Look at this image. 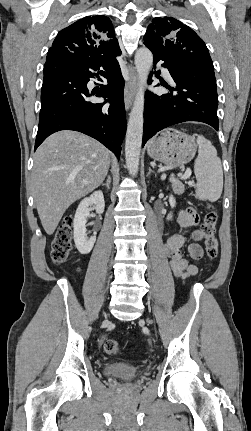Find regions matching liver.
Here are the masks:
<instances>
[{"label": "liver", "mask_w": 251, "mask_h": 431, "mask_svg": "<svg viewBox=\"0 0 251 431\" xmlns=\"http://www.w3.org/2000/svg\"><path fill=\"white\" fill-rule=\"evenodd\" d=\"M110 151L76 131L49 136L37 149L32 188L37 212L48 235L57 228L67 208L96 189L105 179Z\"/></svg>", "instance_id": "1"}]
</instances>
